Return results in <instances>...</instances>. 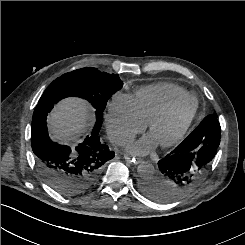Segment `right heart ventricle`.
Returning <instances> with one entry per match:
<instances>
[{
	"instance_id": "right-heart-ventricle-1",
	"label": "right heart ventricle",
	"mask_w": 245,
	"mask_h": 245,
	"mask_svg": "<svg viewBox=\"0 0 245 245\" xmlns=\"http://www.w3.org/2000/svg\"><path fill=\"white\" fill-rule=\"evenodd\" d=\"M189 95L188 91L178 85L159 83L141 87L132 97L140 118L148 123L168 105Z\"/></svg>"
}]
</instances>
